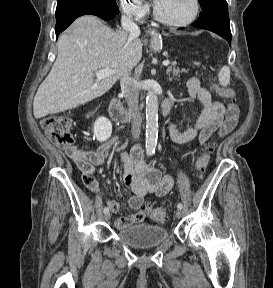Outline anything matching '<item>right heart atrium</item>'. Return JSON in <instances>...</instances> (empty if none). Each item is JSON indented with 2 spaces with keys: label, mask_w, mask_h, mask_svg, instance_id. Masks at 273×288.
<instances>
[{
  "label": "right heart atrium",
  "mask_w": 273,
  "mask_h": 288,
  "mask_svg": "<svg viewBox=\"0 0 273 288\" xmlns=\"http://www.w3.org/2000/svg\"><path fill=\"white\" fill-rule=\"evenodd\" d=\"M121 11L129 18L139 21L143 19L147 12L148 7L140 0H118Z\"/></svg>",
  "instance_id": "right-heart-atrium-1"
}]
</instances>
